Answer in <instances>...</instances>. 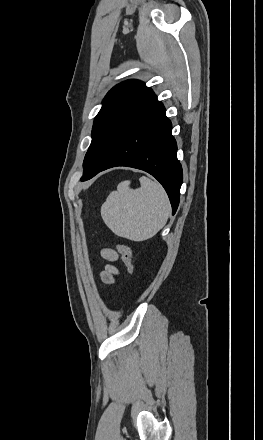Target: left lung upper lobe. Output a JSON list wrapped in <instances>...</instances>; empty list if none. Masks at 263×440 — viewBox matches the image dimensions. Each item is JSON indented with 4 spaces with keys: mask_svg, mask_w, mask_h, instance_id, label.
I'll list each match as a JSON object with an SVG mask.
<instances>
[{
    "mask_svg": "<svg viewBox=\"0 0 263 440\" xmlns=\"http://www.w3.org/2000/svg\"><path fill=\"white\" fill-rule=\"evenodd\" d=\"M154 95L151 88L138 80L124 81L108 92L94 120L81 180L107 163L137 112Z\"/></svg>",
    "mask_w": 263,
    "mask_h": 440,
    "instance_id": "left-lung-upper-lobe-1",
    "label": "left lung upper lobe"
}]
</instances>
